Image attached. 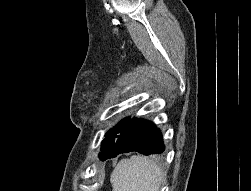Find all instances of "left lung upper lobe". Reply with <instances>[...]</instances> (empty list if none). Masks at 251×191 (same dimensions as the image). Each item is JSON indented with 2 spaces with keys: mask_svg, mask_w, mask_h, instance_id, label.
<instances>
[{
  "mask_svg": "<svg viewBox=\"0 0 251 191\" xmlns=\"http://www.w3.org/2000/svg\"><path fill=\"white\" fill-rule=\"evenodd\" d=\"M130 117L122 119L116 126L111 128L106 134L105 139L102 141L101 152L99 153V158L104 161L106 160L112 152L113 146L117 140L118 135L124 129Z\"/></svg>",
  "mask_w": 251,
  "mask_h": 191,
  "instance_id": "1",
  "label": "left lung upper lobe"
}]
</instances>
